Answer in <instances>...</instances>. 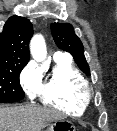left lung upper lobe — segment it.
Segmentation results:
<instances>
[{
  "label": "left lung upper lobe",
  "mask_w": 117,
  "mask_h": 131,
  "mask_svg": "<svg viewBox=\"0 0 117 131\" xmlns=\"http://www.w3.org/2000/svg\"><path fill=\"white\" fill-rule=\"evenodd\" d=\"M51 32L56 45L67 52H70L79 66L87 75H90V69L84 56V47L81 40L75 34L70 24L53 23Z\"/></svg>",
  "instance_id": "1"
}]
</instances>
